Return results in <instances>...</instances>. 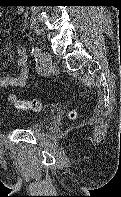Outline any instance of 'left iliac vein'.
I'll return each instance as SVG.
<instances>
[{
  "label": "left iliac vein",
  "instance_id": "4c4485c4",
  "mask_svg": "<svg viewBox=\"0 0 121 197\" xmlns=\"http://www.w3.org/2000/svg\"><path fill=\"white\" fill-rule=\"evenodd\" d=\"M52 63V56L49 52L44 51L40 53V73H45Z\"/></svg>",
  "mask_w": 121,
  "mask_h": 197
}]
</instances>
